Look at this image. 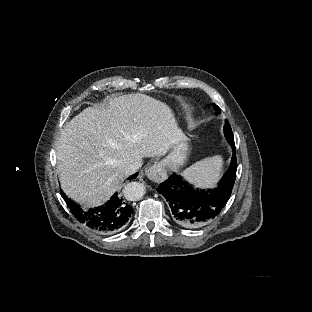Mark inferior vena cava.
<instances>
[{
  "instance_id": "inferior-vena-cava-1",
  "label": "inferior vena cava",
  "mask_w": 312,
  "mask_h": 312,
  "mask_svg": "<svg viewBox=\"0 0 312 312\" xmlns=\"http://www.w3.org/2000/svg\"><path fill=\"white\" fill-rule=\"evenodd\" d=\"M142 166V160L141 158L136 159L135 161H133V163H131L128 168H127V174H133L135 173L140 167Z\"/></svg>"
}]
</instances>
